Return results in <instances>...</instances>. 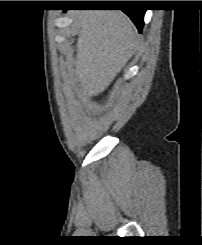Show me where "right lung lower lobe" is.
I'll use <instances>...</instances> for the list:
<instances>
[{"mask_svg": "<svg viewBox=\"0 0 202 245\" xmlns=\"http://www.w3.org/2000/svg\"><path fill=\"white\" fill-rule=\"evenodd\" d=\"M66 11V10H64ZM124 13H126L131 20L134 22L136 27L138 28L139 31L142 30L143 25H144V13L145 10L142 9H124L122 10Z\"/></svg>", "mask_w": 202, "mask_h": 245, "instance_id": "right-lung-lower-lobe-1", "label": "right lung lower lobe"}]
</instances>
